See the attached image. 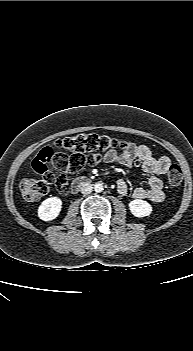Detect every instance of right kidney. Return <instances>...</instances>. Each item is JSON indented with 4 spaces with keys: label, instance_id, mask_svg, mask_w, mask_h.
Wrapping results in <instances>:
<instances>
[{
    "label": "right kidney",
    "instance_id": "1",
    "mask_svg": "<svg viewBox=\"0 0 193 351\" xmlns=\"http://www.w3.org/2000/svg\"><path fill=\"white\" fill-rule=\"evenodd\" d=\"M62 201L58 197L45 199L38 208V217L43 221L54 220L60 213Z\"/></svg>",
    "mask_w": 193,
    "mask_h": 351
}]
</instances>
